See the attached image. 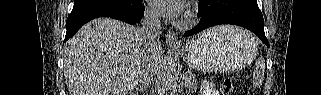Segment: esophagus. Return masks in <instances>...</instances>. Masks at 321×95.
<instances>
[{
  "mask_svg": "<svg viewBox=\"0 0 321 95\" xmlns=\"http://www.w3.org/2000/svg\"><path fill=\"white\" fill-rule=\"evenodd\" d=\"M166 44L169 47H179L181 45L178 36L173 31H168L166 33Z\"/></svg>",
  "mask_w": 321,
  "mask_h": 95,
  "instance_id": "34e87169",
  "label": "esophagus"
}]
</instances>
